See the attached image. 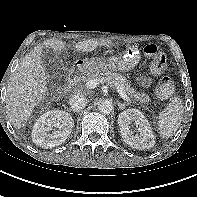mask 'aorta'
Segmentation results:
<instances>
[{
  "label": "aorta",
  "mask_w": 197,
  "mask_h": 197,
  "mask_svg": "<svg viewBox=\"0 0 197 197\" xmlns=\"http://www.w3.org/2000/svg\"><path fill=\"white\" fill-rule=\"evenodd\" d=\"M98 109L102 114H110L113 110L112 102L109 100H103L98 104Z\"/></svg>",
  "instance_id": "obj_1"
}]
</instances>
